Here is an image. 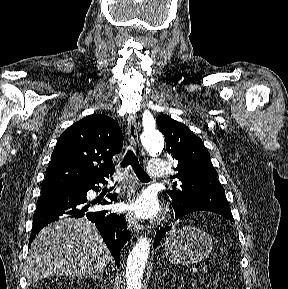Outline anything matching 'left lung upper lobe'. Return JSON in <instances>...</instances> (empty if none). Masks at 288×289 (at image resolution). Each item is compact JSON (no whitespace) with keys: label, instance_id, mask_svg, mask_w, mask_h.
<instances>
[{"label":"left lung upper lobe","instance_id":"1","mask_svg":"<svg viewBox=\"0 0 288 289\" xmlns=\"http://www.w3.org/2000/svg\"><path fill=\"white\" fill-rule=\"evenodd\" d=\"M166 139V150L174 159L176 174L171 178L180 181L167 191L173 206L181 210L212 211L234 221L225 190L217 178L210 154L202 140L187 126L167 115L156 118Z\"/></svg>","mask_w":288,"mask_h":289}]
</instances>
